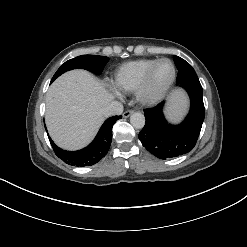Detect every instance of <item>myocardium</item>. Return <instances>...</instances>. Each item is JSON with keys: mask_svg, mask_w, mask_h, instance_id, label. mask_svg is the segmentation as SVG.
<instances>
[{"mask_svg": "<svg viewBox=\"0 0 247 247\" xmlns=\"http://www.w3.org/2000/svg\"><path fill=\"white\" fill-rule=\"evenodd\" d=\"M167 61L172 66V76L168 84L158 93L152 94L149 93L147 90L149 79L151 76V73L155 66L162 62ZM176 79V66L172 60L169 58H159L156 59L144 72L136 90H135V96L139 103L145 105V106H153L158 104L161 100L164 99V97L167 95L169 90L171 89L172 85L174 84Z\"/></svg>", "mask_w": 247, "mask_h": 247, "instance_id": "f54148a6", "label": "myocardium"}]
</instances>
